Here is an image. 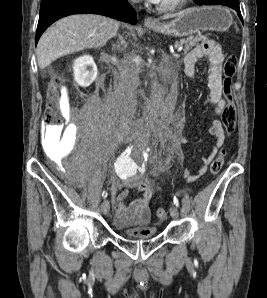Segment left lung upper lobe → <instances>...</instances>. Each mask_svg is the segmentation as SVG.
<instances>
[{
  "label": "left lung upper lobe",
  "instance_id": "left-lung-upper-lobe-1",
  "mask_svg": "<svg viewBox=\"0 0 267 298\" xmlns=\"http://www.w3.org/2000/svg\"><path fill=\"white\" fill-rule=\"evenodd\" d=\"M202 0H194V2L196 3H200Z\"/></svg>",
  "mask_w": 267,
  "mask_h": 298
}]
</instances>
